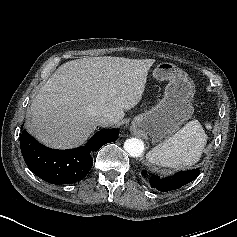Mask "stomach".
I'll return each mask as SVG.
<instances>
[{"mask_svg": "<svg viewBox=\"0 0 237 237\" xmlns=\"http://www.w3.org/2000/svg\"><path fill=\"white\" fill-rule=\"evenodd\" d=\"M152 77L157 81H169L164 97L151 110L136 116L133 126L148 134L153 143H161L193 115L191 101L195 87L187 73L170 62L158 63Z\"/></svg>", "mask_w": 237, "mask_h": 237, "instance_id": "1", "label": "stomach"}]
</instances>
